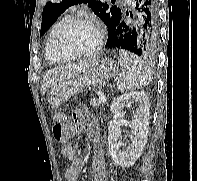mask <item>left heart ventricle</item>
I'll return each instance as SVG.
<instances>
[{"label": "left heart ventricle", "instance_id": "obj_1", "mask_svg": "<svg viewBox=\"0 0 197 181\" xmlns=\"http://www.w3.org/2000/svg\"><path fill=\"white\" fill-rule=\"evenodd\" d=\"M97 39L95 28L87 23L76 24L64 35L61 48L66 56H74L90 51Z\"/></svg>", "mask_w": 197, "mask_h": 181}]
</instances>
